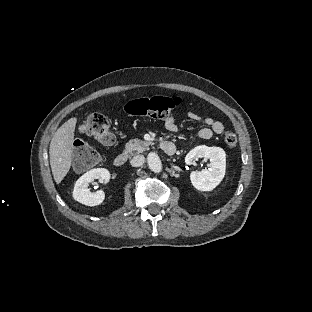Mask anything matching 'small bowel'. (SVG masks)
Wrapping results in <instances>:
<instances>
[{"instance_id": "1", "label": "small bowel", "mask_w": 312, "mask_h": 312, "mask_svg": "<svg viewBox=\"0 0 312 312\" xmlns=\"http://www.w3.org/2000/svg\"><path fill=\"white\" fill-rule=\"evenodd\" d=\"M187 116L193 121L201 122L206 125V127L199 131V136L202 139H209L213 134H221L224 131V125L219 120H215L210 117H204L195 112H188ZM164 127L171 133H176L179 131V124L172 115H169L167 118H165Z\"/></svg>"}]
</instances>
